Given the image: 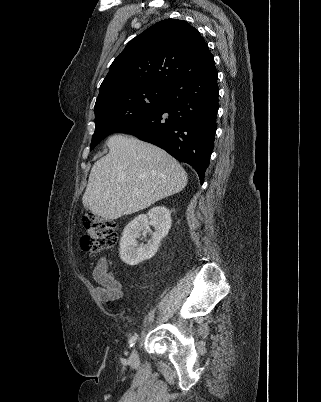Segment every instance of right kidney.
<instances>
[{
	"label": "right kidney",
	"mask_w": 321,
	"mask_h": 402,
	"mask_svg": "<svg viewBox=\"0 0 321 402\" xmlns=\"http://www.w3.org/2000/svg\"><path fill=\"white\" fill-rule=\"evenodd\" d=\"M171 212L165 206H156L147 214L138 215L124 228L120 240V258L130 266L138 265L144 260L152 258L157 252L163 238L171 228ZM155 229L153 237L147 244L136 247V239L149 232V226Z\"/></svg>",
	"instance_id": "obj_1"
}]
</instances>
